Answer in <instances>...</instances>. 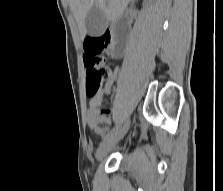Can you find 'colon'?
Masks as SVG:
<instances>
[{
	"label": "colon",
	"instance_id": "5ec220e1",
	"mask_svg": "<svg viewBox=\"0 0 223 191\" xmlns=\"http://www.w3.org/2000/svg\"><path fill=\"white\" fill-rule=\"evenodd\" d=\"M110 43L111 36L108 33L88 36L84 40L83 61L86 67V94L89 97L96 96L102 83L111 76L112 71L102 57Z\"/></svg>",
	"mask_w": 223,
	"mask_h": 191
}]
</instances>
